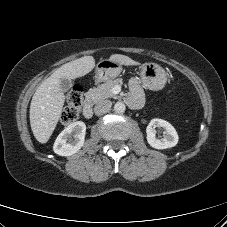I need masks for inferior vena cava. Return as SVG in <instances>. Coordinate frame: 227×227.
Here are the masks:
<instances>
[{
  "instance_id": "obj_1",
  "label": "inferior vena cava",
  "mask_w": 227,
  "mask_h": 227,
  "mask_svg": "<svg viewBox=\"0 0 227 227\" xmlns=\"http://www.w3.org/2000/svg\"><path fill=\"white\" fill-rule=\"evenodd\" d=\"M111 106L112 102L109 100L100 101L95 105L94 112L97 116L103 115L110 111Z\"/></svg>"
}]
</instances>
